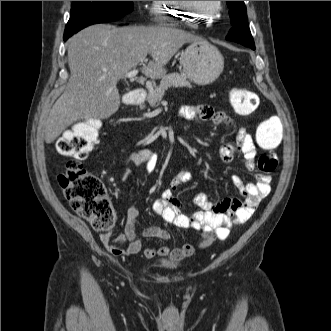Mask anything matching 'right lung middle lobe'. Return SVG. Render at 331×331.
<instances>
[{"label": "right lung middle lobe", "instance_id": "obj_1", "mask_svg": "<svg viewBox=\"0 0 331 331\" xmlns=\"http://www.w3.org/2000/svg\"><path fill=\"white\" fill-rule=\"evenodd\" d=\"M132 10L133 1H73L64 36L91 24L117 21Z\"/></svg>", "mask_w": 331, "mask_h": 331}]
</instances>
